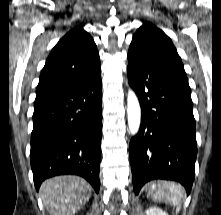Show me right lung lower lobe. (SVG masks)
Listing matches in <instances>:
<instances>
[{
  "label": "right lung lower lobe",
  "instance_id": "98d812e1",
  "mask_svg": "<svg viewBox=\"0 0 221 215\" xmlns=\"http://www.w3.org/2000/svg\"><path fill=\"white\" fill-rule=\"evenodd\" d=\"M101 72L34 103L30 161L37 190L50 177L75 174L99 192Z\"/></svg>",
  "mask_w": 221,
  "mask_h": 215
}]
</instances>
